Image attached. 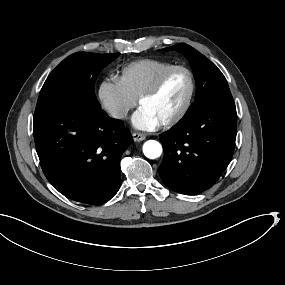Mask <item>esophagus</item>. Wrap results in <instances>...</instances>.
<instances>
[{
    "label": "esophagus",
    "instance_id": "1",
    "mask_svg": "<svg viewBox=\"0 0 285 285\" xmlns=\"http://www.w3.org/2000/svg\"><path fill=\"white\" fill-rule=\"evenodd\" d=\"M132 136H133V139H134L135 141H143L144 139H146V136H145L144 134L137 133V132H134V133L132 134Z\"/></svg>",
    "mask_w": 285,
    "mask_h": 285
}]
</instances>
